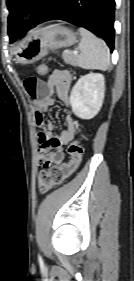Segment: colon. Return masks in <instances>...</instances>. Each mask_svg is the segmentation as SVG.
Instances as JSON below:
<instances>
[{"mask_svg": "<svg viewBox=\"0 0 134 281\" xmlns=\"http://www.w3.org/2000/svg\"><path fill=\"white\" fill-rule=\"evenodd\" d=\"M37 73L40 76H45L48 73L46 64L37 66ZM83 134L80 133L78 138L73 140L67 149L69 161L61 165H55L48 170L40 172L38 177V187L41 193H46L55 186L64 183L80 166L84 149L82 145Z\"/></svg>", "mask_w": 134, "mask_h": 281, "instance_id": "1", "label": "colon"}]
</instances>
